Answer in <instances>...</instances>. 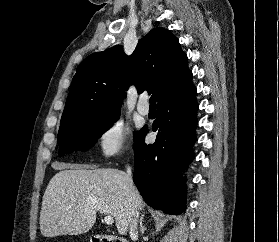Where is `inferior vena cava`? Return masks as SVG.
I'll use <instances>...</instances> for the list:
<instances>
[{
  "label": "inferior vena cava",
  "instance_id": "1",
  "mask_svg": "<svg viewBox=\"0 0 279 242\" xmlns=\"http://www.w3.org/2000/svg\"><path fill=\"white\" fill-rule=\"evenodd\" d=\"M127 174L129 176V192L131 193V189L134 185H133V181L131 178V167H129V166L127 167ZM137 223H138V212L133 211V215L130 219V224H129V234H130L131 239H135L138 236Z\"/></svg>",
  "mask_w": 279,
  "mask_h": 242
}]
</instances>
